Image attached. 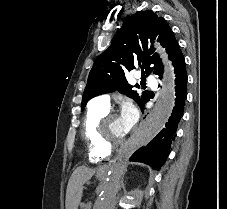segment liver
<instances>
[{
  "mask_svg": "<svg viewBox=\"0 0 227 209\" xmlns=\"http://www.w3.org/2000/svg\"><path fill=\"white\" fill-rule=\"evenodd\" d=\"M94 173L95 171L93 169H87V167H78V169H75L69 179L66 191V209H78L83 191L81 185L84 181L91 179Z\"/></svg>",
  "mask_w": 227,
  "mask_h": 209,
  "instance_id": "6515ba94",
  "label": "liver"
}]
</instances>
